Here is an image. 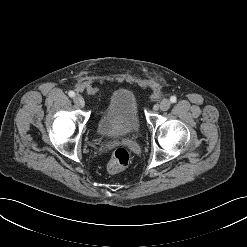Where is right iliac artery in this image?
Instances as JSON below:
<instances>
[{
	"label": "right iliac artery",
	"instance_id": "1",
	"mask_svg": "<svg viewBox=\"0 0 247 247\" xmlns=\"http://www.w3.org/2000/svg\"><path fill=\"white\" fill-rule=\"evenodd\" d=\"M68 95H69L70 97H74V96H75V93H74L73 91H69Z\"/></svg>",
	"mask_w": 247,
	"mask_h": 247
}]
</instances>
